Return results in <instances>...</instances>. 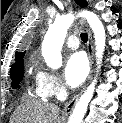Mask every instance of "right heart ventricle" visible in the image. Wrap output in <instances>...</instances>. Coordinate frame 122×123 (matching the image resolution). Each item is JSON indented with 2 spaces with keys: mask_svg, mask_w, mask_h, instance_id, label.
Returning a JSON list of instances; mask_svg holds the SVG:
<instances>
[{
  "mask_svg": "<svg viewBox=\"0 0 122 123\" xmlns=\"http://www.w3.org/2000/svg\"><path fill=\"white\" fill-rule=\"evenodd\" d=\"M34 94H35L36 97L41 98V99L47 98V96L39 88L37 82H36V85H35V88H34Z\"/></svg>",
  "mask_w": 122,
  "mask_h": 123,
  "instance_id": "1",
  "label": "right heart ventricle"
}]
</instances>
